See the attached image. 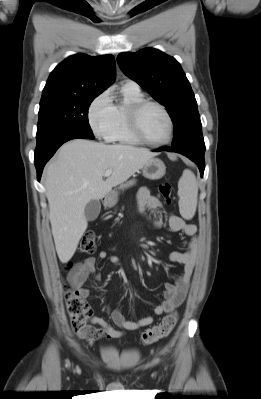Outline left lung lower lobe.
<instances>
[{
    "label": "left lung lower lobe",
    "instance_id": "1",
    "mask_svg": "<svg viewBox=\"0 0 261 399\" xmlns=\"http://www.w3.org/2000/svg\"><path fill=\"white\" fill-rule=\"evenodd\" d=\"M160 151H169V152H176L185 155L193 162H195L200 170L201 177L203 176L204 169H205V162H204V153L205 147H184V148H175V147H162L157 150Z\"/></svg>",
    "mask_w": 261,
    "mask_h": 399
}]
</instances>
